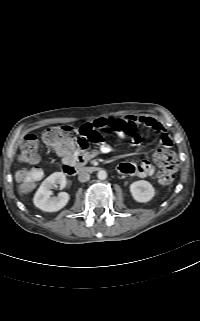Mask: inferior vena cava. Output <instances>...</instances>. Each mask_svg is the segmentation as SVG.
<instances>
[{"mask_svg": "<svg viewBox=\"0 0 200 321\" xmlns=\"http://www.w3.org/2000/svg\"><path fill=\"white\" fill-rule=\"evenodd\" d=\"M90 179V175L87 172H81L79 173L78 180L80 182H86Z\"/></svg>", "mask_w": 200, "mask_h": 321, "instance_id": "602c4592", "label": "inferior vena cava"}]
</instances>
